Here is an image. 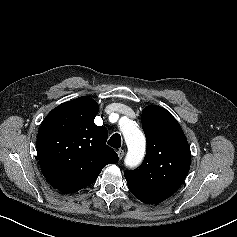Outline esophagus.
Returning <instances> with one entry per match:
<instances>
[{
    "label": "esophagus",
    "instance_id": "obj_1",
    "mask_svg": "<svg viewBox=\"0 0 237 237\" xmlns=\"http://www.w3.org/2000/svg\"><path fill=\"white\" fill-rule=\"evenodd\" d=\"M117 154H118L119 159L121 160L122 157L124 156V150L123 149L117 150Z\"/></svg>",
    "mask_w": 237,
    "mask_h": 237
}]
</instances>
